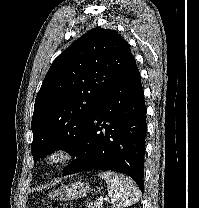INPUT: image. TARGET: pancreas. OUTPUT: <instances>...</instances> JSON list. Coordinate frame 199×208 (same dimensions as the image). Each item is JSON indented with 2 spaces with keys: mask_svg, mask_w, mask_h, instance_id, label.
Returning <instances> with one entry per match:
<instances>
[{
  "mask_svg": "<svg viewBox=\"0 0 199 208\" xmlns=\"http://www.w3.org/2000/svg\"><path fill=\"white\" fill-rule=\"evenodd\" d=\"M88 208H102L100 205H97L95 203H90Z\"/></svg>",
  "mask_w": 199,
  "mask_h": 208,
  "instance_id": "cf45deb5",
  "label": "pancreas"
}]
</instances>
